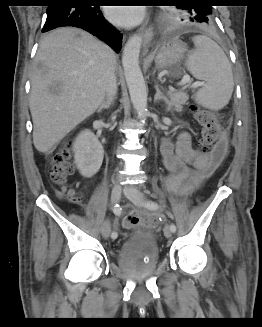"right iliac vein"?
Here are the masks:
<instances>
[{
    "mask_svg": "<svg viewBox=\"0 0 262 327\" xmlns=\"http://www.w3.org/2000/svg\"><path fill=\"white\" fill-rule=\"evenodd\" d=\"M120 197H121V186L119 184H115L111 189V195H110L112 204L118 203L120 200ZM110 231H111L110 222L108 220H106L102 224V228H101L102 236L104 238H108L110 235Z\"/></svg>",
    "mask_w": 262,
    "mask_h": 327,
    "instance_id": "right-iliac-vein-1",
    "label": "right iliac vein"
}]
</instances>
